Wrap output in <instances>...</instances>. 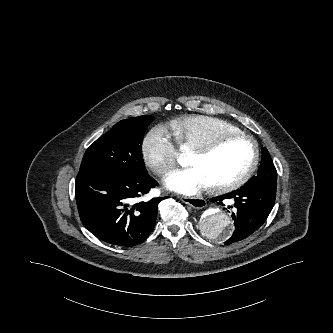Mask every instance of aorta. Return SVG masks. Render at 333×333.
<instances>
[{
  "instance_id": "762f6f07",
  "label": "aorta",
  "mask_w": 333,
  "mask_h": 333,
  "mask_svg": "<svg viewBox=\"0 0 333 333\" xmlns=\"http://www.w3.org/2000/svg\"><path fill=\"white\" fill-rule=\"evenodd\" d=\"M180 163L183 164L184 161L180 160ZM199 227L205 236L223 240L232 232L233 224L230 216L215 206L204 213Z\"/></svg>"
}]
</instances>
